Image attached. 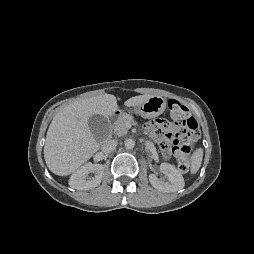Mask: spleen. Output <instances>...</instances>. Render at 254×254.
<instances>
[{"label": "spleen", "instance_id": "3e777b00", "mask_svg": "<svg viewBox=\"0 0 254 254\" xmlns=\"http://www.w3.org/2000/svg\"><path fill=\"white\" fill-rule=\"evenodd\" d=\"M202 159H203V149L198 148L194 151V153L192 154V156L190 158L191 174L197 173V171L199 170V168L201 166Z\"/></svg>", "mask_w": 254, "mask_h": 254}]
</instances>
